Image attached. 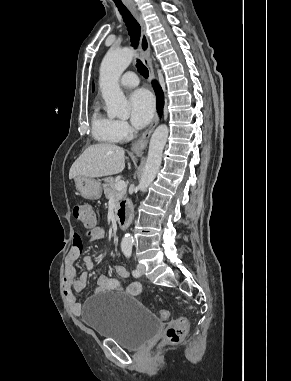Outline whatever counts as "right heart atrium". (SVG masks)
<instances>
[{"label": "right heart atrium", "mask_w": 291, "mask_h": 381, "mask_svg": "<svg viewBox=\"0 0 291 381\" xmlns=\"http://www.w3.org/2000/svg\"><path fill=\"white\" fill-rule=\"evenodd\" d=\"M116 126H117V129H118V132L120 133V135L123 137V138H126L130 135L131 133V128L129 126V124L124 121V120H118L116 121Z\"/></svg>", "instance_id": "1"}]
</instances>
